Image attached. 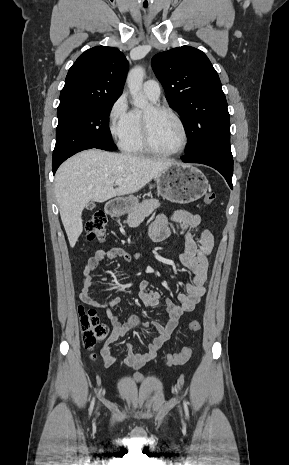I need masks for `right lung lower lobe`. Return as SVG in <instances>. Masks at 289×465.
I'll return each instance as SVG.
<instances>
[{
	"label": "right lung lower lobe",
	"mask_w": 289,
	"mask_h": 465,
	"mask_svg": "<svg viewBox=\"0 0 289 465\" xmlns=\"http://www.w3.org/2000/svg\"><path fill=\"white\" fill-rule=\"evenodd\" d=\"M63 161H64V160H62V161H57V162H52L53 174H55L57 168L60 166V164H61Z\"/></svg>",
	"instance_id": "98d812e1"
}]
</instances>
